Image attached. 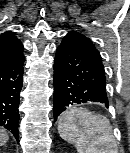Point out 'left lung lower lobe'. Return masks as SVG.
<instances>
[{
	"label": "left lung lower lobe",
	"instance_id": "1",
	"mask_svg": "<svg viewBox=\"0 0 130 153\" xmlns=\"http://www.w3.org/2000/svg\"><path fill=\"white\" fill-rule=\"evenodd\" d=\"M101 102L109 106L99 51L82 34L71 31L54 60V120L70 105Z\"/></svg>",
	"mask_w": 130,
	"mask_h": 153
}]
</instances>
